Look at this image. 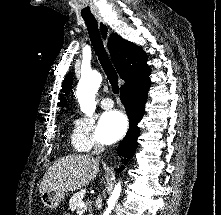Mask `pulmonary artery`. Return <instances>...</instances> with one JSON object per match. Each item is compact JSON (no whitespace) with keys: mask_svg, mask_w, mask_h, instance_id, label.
Wrapping results in <instances>:
<instances>
[{"mask_svg":"<svg viewBox=\"0 0 221 215\" xmlns=\"http://www.w3.org/2000/svg\"><path fill=\"white\" fill-rule=\"evenodd\" d=\"M114 105V102L111 98H104L101 101V106L103 109H111Z\"/></svg>","mask_w":221,"mask_h":215,"instance_id":"e3ab8cb5","label":"pulmonary artery"}]
</instances>
